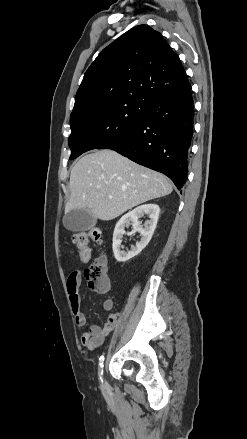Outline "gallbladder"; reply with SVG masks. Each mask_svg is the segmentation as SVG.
Masks as SVG:
<instances>
[{
	"label": "gallbladder",
	"mask_w": 247,
	"mask_h": 439,
	"mask_svg": "<svg viewBox=\"0 0 247 439\" xmlns=\"http://www.w3.org/2000/svg\"><path fill=\"white\" fill-rule=\"evenodd\" d=\"M97 219L83 209L71 210L63 217V225L70 231H83L93 228Z\"/></svg>",
	"instance_id": "bac80fb5"
}]
</instances>
